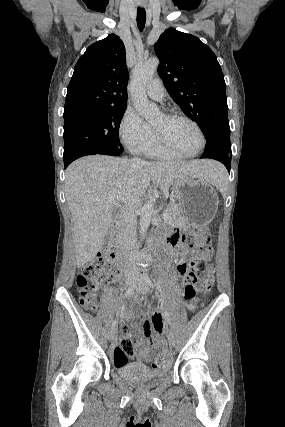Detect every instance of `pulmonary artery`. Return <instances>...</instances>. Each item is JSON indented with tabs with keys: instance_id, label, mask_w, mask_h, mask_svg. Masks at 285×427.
I'll list each match as a JSON object with an SVG mask.
<instances>
[{
	"instance_id": "1",
	"label": "pulmonary artery",
	"mask_w": 285,
	"mask_h": 427,
	"mask_svg": "<svg viewBox=\"0 0 285 427\" xmlns=\"http://www.w3.org/2000/svg\"><path fill=\"white\" fill-rule=\"evenodd\" d=\"M146 93L149 98L161 102L165 98V90L160 78L156 77L146 86Z\"/></svg>"
}]
</instances>
